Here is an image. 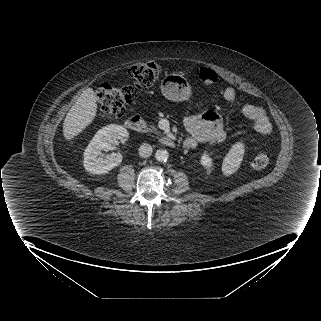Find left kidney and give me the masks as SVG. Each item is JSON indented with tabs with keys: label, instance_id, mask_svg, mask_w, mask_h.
Listing matches in <instances>:
<instances>
[{
	"label": "left kidney",
	"instance_id": "5707ae66",
	"mask_svg": "<svg viewBox=\"0 0 321 321\" xmlns=\"http://www.w3.org/2000/svg\"><path fill=\"white\" fill-rule=\"evenodd\" d=\"M200 163L203 167H205L206 169H211L212 168V159L210 158L209 154L208 153H204L202 156H201V159H200Z\"/></svg>",
	"mask_w": 321,
	"mask_h": 321
}]
</instances>
